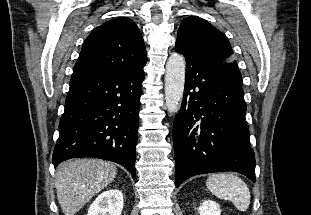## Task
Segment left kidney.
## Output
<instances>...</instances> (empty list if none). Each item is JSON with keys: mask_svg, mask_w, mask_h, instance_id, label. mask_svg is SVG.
Segmentation results:
<instances>
[{"mask_svg": "<svg viewBox=\"0 0 311 215\" xmlns=\"http://www.w3.org/2000/svg\"><path fill=\"white\" fill-rule=\"evenodd\" d=\"M200 215H220L219 205L212 200H205L199 207Z\"/></svg>", "mask_w": 311, "mask_h": 215, "instance_id": "obj_1", "label": "left kidney"}]
</instances>
